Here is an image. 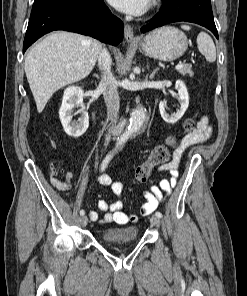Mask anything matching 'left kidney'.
<instances>
[{
	"mask_svg": "<svg viewBox=\"0 0 247 296\" xmlns=\"http://www.w3.org/2000/svg\"><path fill=\"white\" fill-rule=\"evenodd\" d=\"M177 91H178V96L180 99V109L173 115H169L166 112V101H161L159 104V110L161 117L163 120L169 124H175L185 113V111L188 108L189 105V95L187 88L184 84L183 81H177L175 85Z\"/></svg>",
	"mask_w": 247,
	"mask_h": 296,
	"instance_id": "5707ae66",
	"label": "left kidney"
}]
</instances>
